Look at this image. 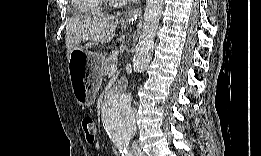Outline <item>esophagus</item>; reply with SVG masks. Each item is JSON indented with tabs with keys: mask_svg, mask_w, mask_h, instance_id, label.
<instances>
[{
	"mask_svg": "<svg viewBox=\"0 0 261 156\" xmlns=\"http://www.w3.org/2000/svg\"><path fill=\"white\" fill-rule=\"evenodd\" d=\"M136 15V11L135 10H130L129 11V16H135Z\"/></svg>",
	"mask_w": 261,
	"mask_h": 156,
	"instance_id": "34e87169",
	"label": "esophagus"
}]
</instances>
